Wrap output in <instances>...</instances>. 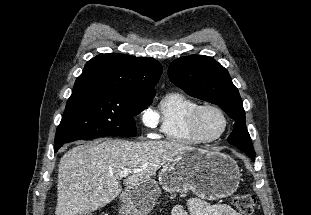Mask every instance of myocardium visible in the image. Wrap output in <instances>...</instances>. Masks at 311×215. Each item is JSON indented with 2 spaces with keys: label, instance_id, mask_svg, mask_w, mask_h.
Returning <instances> with one entry per match:
<instances>
[{
  "label": "myocardium",
  "instance_id": "obj_1",
  "mask_svg": "<svg viewBox=\"0 0 311 215\" xmlns=\"http://www.w3.org/2000/svg\"><path fill=\"white\" fill-rule=\"evenodd\" d=\"M205 110H213L217 112L223 120V127L221 131L215 136L206 135L200 127V117ZM227 127H228V118H227L226 113L224 112L222 108L214 104L199 105L192 111L189 117L190 131L196 138H198L202 142H214L218 140L225 133V131L227 130Z\"/></svg>",
  "mask_w": 311,
  "mask_h": 215
}]
</instances>
